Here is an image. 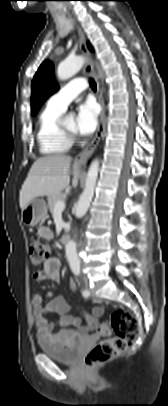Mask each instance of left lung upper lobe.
Returning <instances> with one entry per match:
<instances>
[{
  "label": "left lung upper lobe",
  "mask_w": 168,
  "mask_h": 406,
  "mask_svg": "<svg viewBox=\"0 0 168 406\" xmlns=\"http://www.w3.org/2000/svg\"><path fill=\"white\" fill-rule=\"evenodd\" d=\"M91 49V47L89 46ZM53 64L44 61L36 72L32 81L31 109L35 115L44 101L58 90V85L54 81Z\"/></svg>",
  "instance_id": "5c2ea615"
}]
</instances>
